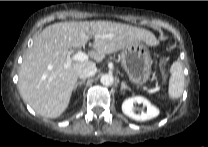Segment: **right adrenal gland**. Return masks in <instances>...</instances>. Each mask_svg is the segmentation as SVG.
<instances>
[{"instance_id":"obj_1","label":"right adrenal gland","mask_w":208,"mask_h":147,"mask_svg":"<svg viewBox=\"0 0 208 147\" xmlns=\"http://www.w3.org/2000/svg\"><path fill=\"white\" fill-rule=\"evenodd\" d=\"M85 81H86V79H83V80H81V81H78V82L75 84V86H74V91H76V89H77L78 86H81L82 84H84Z\"/></svg>"}]
</instances>
